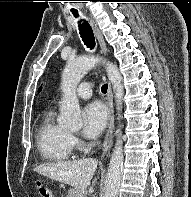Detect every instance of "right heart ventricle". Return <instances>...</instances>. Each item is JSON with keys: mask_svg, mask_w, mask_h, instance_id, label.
<instances>
[{"mask_svg": "<svg viewBox=\"0 0 191 197\" xmlns=\"http://www.w3.org/2000/svg\"><path fill=\"white\" fill-rule=\"evenodd\" d=\"M69 132L55 121L53 109H47L40 120L36 143L43 159L47 161H66L72 157Z\"/></svg>", "mask_w": 191, "mask_h": 197, "instance_id": "e07e8e85", "label": "right heart ventricle"}]
</instances>
